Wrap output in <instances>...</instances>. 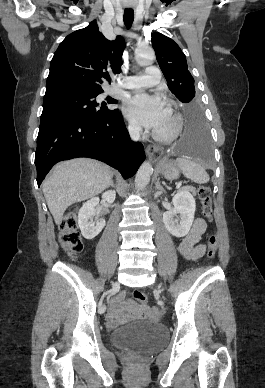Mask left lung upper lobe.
<instances>
[{"label": "left lung upper lobe", "mask_w": 265, "mask_h": 388, "mask_svg": "<svg viewBox=\"0 0 265 388\" xmlns=\"http://www.w3.org/2000/svg\"><path fill=\"white\" fill-rule=\"evenodd\" d=\"M151 42L171 92L186 104L187 110L200 108L195 99L194 79L187 69L186 56L180 47L161 33H154Z\"/></svg>", "instance_id": "left-lung-upper-lobe-1"}]
</instances>
